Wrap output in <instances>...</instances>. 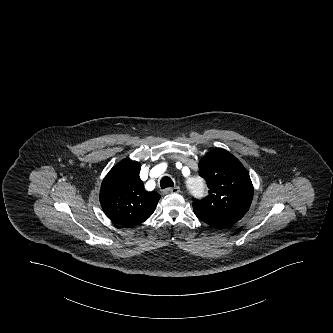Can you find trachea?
Listing matches in <instances>:
<instances>
[{
    "mask_svg": "<svg viewBox=\"0 0 333 333\" xmlns=\"http://www.w3.org/2000/svg\"><path fill=\"white\" fill-rule=\"evenodd\" d=\"M160 186L161 188H168V187H174V183L171 180V178H169L168 176H165L161 179L160 181Z\"/></svg>",
    "mask_w": 333,
    "mask_h": 333,
    "instance_id": "1",
    "label": "trachea"
}]
</instances>
